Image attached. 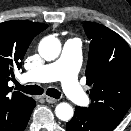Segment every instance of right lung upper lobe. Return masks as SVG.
<instances>
[{
    "label": "right lung upper lobe",
    "mask_w": 131,
    "mask_h": 131,
    "mask_svg": "<svg viewBox=\"0 0 131 131\" xmlns=\"http://www.w3.org/2000/svg\"><path fill=\"white\" fill-rule=\"evenodd\" d=\"M47 27L23 20L0 23V131H17L33 103L32 98L21 92H12L8 81L14 68H21L33 38Z\"/></svg>",
    "instance_id": "right-lung-upper-lobe-1"
}]
</instances>
